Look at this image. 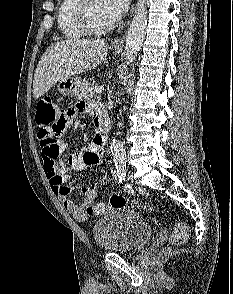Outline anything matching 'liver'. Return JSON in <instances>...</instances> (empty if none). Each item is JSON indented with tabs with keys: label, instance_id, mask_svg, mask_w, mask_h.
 Returning a JSON list of instances; mask_svg holds the SVG:
<instances>
[{
	"label": "liver",
	"instance_id": "obj_1",
	"mask_svg": "<svg viewBox=\"0 0 233 294\" xmlns=\"http://www.w3.org/2000/svg\"><path fill=\"white\" fill-rule=\"evenodd\" d=\"M107 51L104 40L68 39L51 44L34 74V97L43 96L62 79L94 69L105 59Z\"/></svg>",
	"mask_w": 233,
	"mask_h": 294
}]
</instances>
